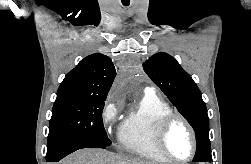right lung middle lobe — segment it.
Listing matches in <instances>:
<instances>
[{"label": "right lung middle lobe", "mask_w": 251, "mask_h": 164, "mask_svg": "<svg viewBox=\"0 0 251 164\" xmlns=\"http://www.w3.org/2000/svg\"><path fill=\"white\" fill-rule=\"evenodd\" d=\"M106 97L57 95L50 119L48 145L73 138L109 146L102 111Z\"/></svg>", "instance_id": "obj_1"}]
</instances>
